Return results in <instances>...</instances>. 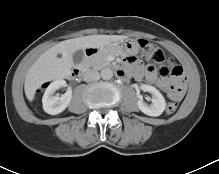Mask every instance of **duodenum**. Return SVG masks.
I'll list each match as a JSON object with an SVG mask.
<instances>
[{"label": "duodenum", "mask_w": 219, "mask_h": 174, "mask_svg": "<svg viewBox=\"0 0 219 174\" xmlns=\"http://www.w3.org/2000/svg\"><path fill=\"white\" fill-rule=\"evenodd\" d=\"M98 48L97 47H89L85 50V54H84V58H83V62L82 65L74 68L71 72V76L73 78H80L85 69H86V65L88 64L89 60L98 53Z\"/></svg>", "instance_id": "obj_1"}]
</instances>
